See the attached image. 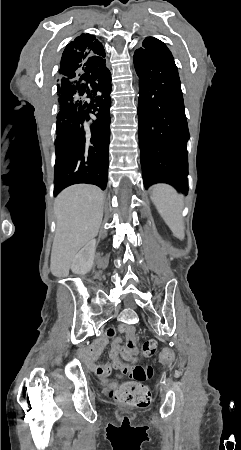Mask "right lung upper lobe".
I'll list each match as a JSON object with an SVG mask.
<instances>
[{"instance_id": "obj_1", "label": "right lung upper lobe", "mask_w": 241, "mask_h": 450, "mask_svg": "<svg viewBox=\"0 0 241 450\" xmlns=\"http://www.w3.org/2000/svg\"><path fill=\"white\" fill-rule=\"evenodd\" d=\"M103 45L94 35L81 34L65 48L61 62L60 77L69 76L83 68H91L105 62Z\"/></svg>"}]
</instances>
